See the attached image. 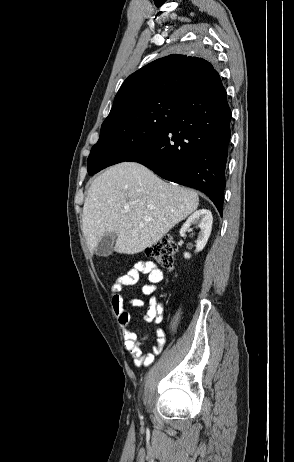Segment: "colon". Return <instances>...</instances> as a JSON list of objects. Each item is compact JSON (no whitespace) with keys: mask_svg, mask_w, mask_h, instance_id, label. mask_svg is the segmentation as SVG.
<instances>
[{"mask_svg":"<svg viewBox=\"0 0 294 462\" xmlns=\"http://www.w3.org/2000/svg\"><path fill=\"white\" fill-rule=\"evenodd\" d=\"M177 244L170 236H165L146 249V254L164 268L172 269L175 266Z\"/></svg>","mask_w":294,"mask_h":462,"instance_id":"obj_1","label":"colon"}]
</instances>
